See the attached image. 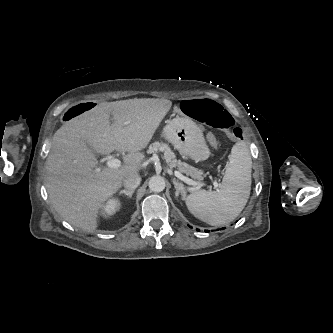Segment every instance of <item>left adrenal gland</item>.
Listing matches in <instances>:
<instances>
[{
  "mask_svg": "<svg viewBox=\"0 0 333 333\" xmlns=\"http://www.w3.org/2000/svg\"><path fill=\"white\" fill-rule=\"evenodd\" d=\"M172 182L176 189V197L181 195L182 199H185L186 191H185L184 185L182 183H180L178 180H176L175 178H173Z\"/></svg>",
  "mask_w": 333,
  "mask_h": 333,
  "instance_id": "left-adrenal-gland-1",
  "label": "left adrenal gland"
}]
</instances>
